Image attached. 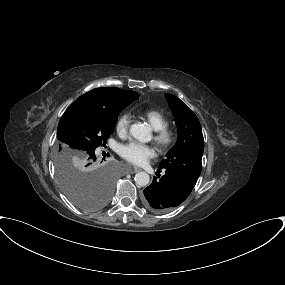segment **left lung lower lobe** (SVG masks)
Listing matches in <instances>:
<instances>
[{"instance_id": "left-lung-lower-lobe-1", "label": "left lung lower lobe", "mask_w": 285, "mask_h": 285, "mask_svg": "<svg viewBox=\"0 0 285 285\" xmlns=\"http://www.w3.org/2000/svg\"><path fill=\"white\" fill-rule=\"evenodd\" d=\"M196 182L175 170L165 174L144 189V205L155 212H166L180 205L191 193Z\"/></svg>"}]
</instances>
